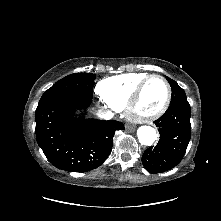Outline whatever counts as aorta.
I'll return each mask as SVG.
<instances>
[{
  "instance_id": "762f6f07",
  "label": "aorta",
  "mask_w": 221,
  "mask_h": 221,
  "mask_svg": "<svg viewBox=\"0 0 221 221\" xmlns=\"http://www.w3.org/2000/svg\"><path fill=\"white\" fill-rule=\"evenodd\" d=\"M137 137L142 145L151 146L157 139L156 130L151 126H141L137 130Z\"/></svg>"
}]
</instances>
